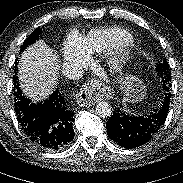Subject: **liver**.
Here are the masks:
<instances>
[{"label":"liver","instance_id":"obj_1","mask_svg":"<svg viewBox=\"0 0 183 183\" xmlns=\"http://www.w3.org/2000/svg\"><path fill=\"white\" fill-rule=\"evenodd\" d=\"M58 57L42 40L28 47L21 56L18 72L20 86L36 101L47 98L57 83Z\"/></svg>","mask_w":183,"mask_h":183}]
</instances>
